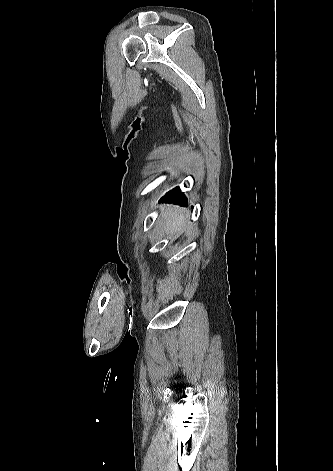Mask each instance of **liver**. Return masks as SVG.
Instances as JSON below:
<instances>
[{"label": "liver", "mask_w": 333, "mask_h": 471, "mask_svg": "<svg viewBox=\"0 0 333 471\" xmlns=\"http://www.w3.org/2000/svg\"><path fill=\"white\" fill-rule=\"evenodd\" d=\"M167 234H179L186 225V217L181 210L169 208L162 215Z\"/></svg>", "instance_id": "1"}]
</instances>
